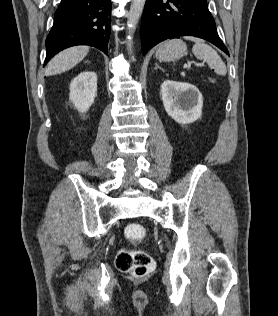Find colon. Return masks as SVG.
Here are the masks:
<instances>
[{"label":"colon","instance_id":"colon-1","mask_svg":"<svg viewBox=\"0 0 278 316\" xmlns=\"http://www.w3.org/2000/svg\"><path fill=\"white\" fill-rule=\"evenodd\" d=\"M124 235L129 242L137 244L145 239L146 229L141 224L131 223L126 226ZM115 265L123 273L142 278L154 270L155 261L145 251L123 248L116 256Z\"/></svg>","mask_w":278,"mask_h":316}]
</instances>
